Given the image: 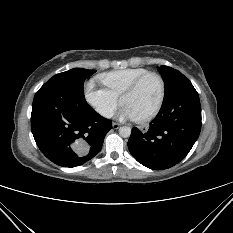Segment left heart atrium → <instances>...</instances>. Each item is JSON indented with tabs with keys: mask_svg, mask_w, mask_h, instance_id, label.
<instances>
[{
	"mask_svg": "<svg viewBox=\"0 0 233 233\" xmlns=\"http://www.w3.org/2000/svg\"><path fill=\"white\" fill-rule=\"evenodd\" d=\"M117 115L118 117L122 119H135L136 118L132 110L128 106L123 105V104L120 110L118 111Z\"/></svg>",
	"mask_w": 233,
	"mask_h": 233,
	"instance_id": "obj_1",
	"label": "left heart atrium"
}]
</instances>
